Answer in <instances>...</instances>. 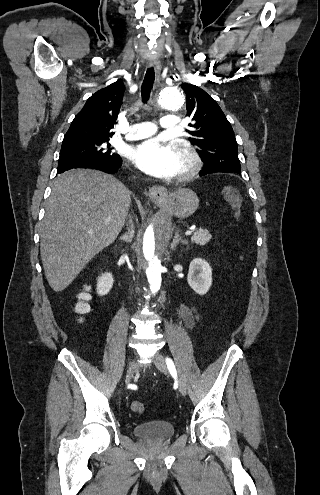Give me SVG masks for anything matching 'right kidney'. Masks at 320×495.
Segmentation results:
<instances>
[{
	"label": "right kidney",
	"instance_id": "right-kidney-1",
	"mask_svg": "<svg viewBox=\"0 0 320 495\" xmlns=\"http://www.w3.org/2000/svg\"><path fill=\"white\" fill-rule=\"evenodd\" d=\"M114 280L110 273L102 274L97 283V293L99 296L107 295L112 289Z\"/></svg>",
	"mask_w": 320,
	"mask_h": 495
}]
</instances>
